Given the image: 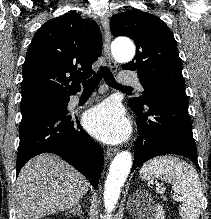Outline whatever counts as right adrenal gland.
Instances as JSON below:
<instances>
[{"mask_svg":"<svg viewBox=\"0 0 211 219\" xmlns=\"http://www.w3.org/2000/svg\"><path fill=\"white\" fill-rule=\"evenodd\" d=\"M67 213L80 216L82 214V207L80 203L77 202L74 205V208L72 210L67 211Z\"/></svg>","mask_w":211,"mask_h":219,"instance_id":"obj_1","label":"right adrenal gland"}]
</instances>
